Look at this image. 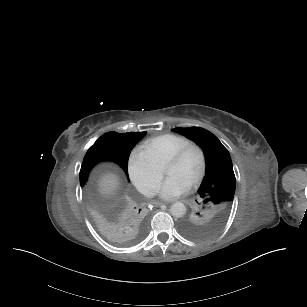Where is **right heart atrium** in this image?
Wrapping results in <instances>:
<instances>
[{
	"label": "right heart atrium",
	"instance_id": "1",
	"mask_svg": "<svg viewBox=\"0 0 307 307\" xmlns=\"http://www.w3.org/2000/svg\"><path fill=\"white\" fill-rule=\"evenodd\" d=\"M128 174L132 184L141 192L149 193L160 177V164L146 143L134 144L127 158Z\"/></svg>",
	"mask_w": 307,
	"mask_h": 307
}]
</instances>
